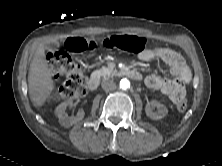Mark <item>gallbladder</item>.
<instances>
[{
  "label": "gallbladder",
  "instance_id": "gallbladder-1",
  "mask_svg": "<svg viewBox=\"0 0 222 166\" xmlns=\"http://www.w3.org/2000/svg\"><path fill=\"white\" fill-rule=\"evenodd\" d=\"M59 46H60V42L55 41V42L49 43L47 47L50 50H54V49L58 48Z\"/></svg>",
  "mask_w": 222,
  "mask_h": 166
}]
</instances>
